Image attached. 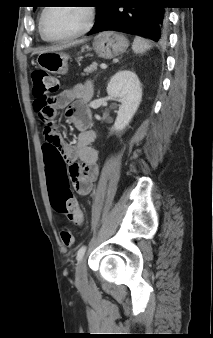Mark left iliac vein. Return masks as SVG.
<instances>
[{"label":"left iliac vein","instance_id":"1","mask_svg":"<svg viewBox=\"0 0 213 338\" xmlns=\"http://www.w3.org/2000/svg\"><path fill=\"white\" fill-rule=\"evenodd\" d=\"M76 281L82 283L86 280V264L84 259L78 262L76 266Z\"/></svg>","mask_w":213,"mask_h":338}]
</instances>
